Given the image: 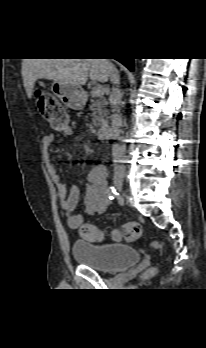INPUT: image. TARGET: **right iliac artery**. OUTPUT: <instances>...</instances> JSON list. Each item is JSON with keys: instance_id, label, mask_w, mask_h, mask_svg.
I'll return each instance as SVG.
<instances>
[{"instance_id": "right-iliac-artery-1", "label": "right iliac artery", "mask_w": 206, "mask_h": 348, "mask_svg": "<svg viewBox=\"0 0 206 348\" xmlns=\"http://www.w3.org/2000/svg\"><path fill=\"white\" fill-rule=\"evenodd\" d=\"M109 199H114L116 197V195L118 194L115 187L110 186L107 190Z\"/></svg>"}]
</instances>
